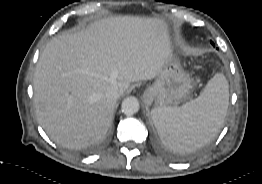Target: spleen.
<instances>
[{
    "mask_svg": "<svg viewBox=\"0 0 262 184\" xmlns=\"http://www.w3.org/2000/svg\"><path fill=\"white\" fill-rule=\"evenodd\" d=\"M229 85L217 73L200 95L181 107H155L154 125L162 142L171 150L191 152L209 143L224 124L228 109Z\"/></svg>",
    "mask_w": 262,
    "mask_h": 184,
    "instance_id": "spleen-1",
    "label": "spleen"
}]
</instances>
